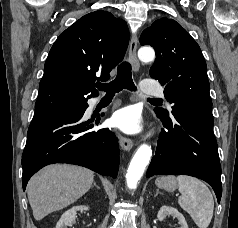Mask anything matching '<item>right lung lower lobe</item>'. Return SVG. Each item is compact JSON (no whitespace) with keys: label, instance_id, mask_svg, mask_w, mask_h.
<instances>
[{"label":"right lung lower lobe","instance_id":"right-lung-lower-lobe-1","mask_svg":"<svg viewBox=\"0 0 238 228\" xmlns=\"http://www.w3.org/2000/svg\"><path fill=\"white\" fill-rule=\"evenodd\" d=\"M87 100L60 109L35 113L22 154V185L42 167L70 163L115 178L119 168L118 138L108 128L92 130L96 121L84 120Z\"/></svg>","mask_w":238,"mask_h":228}]
</instances>
